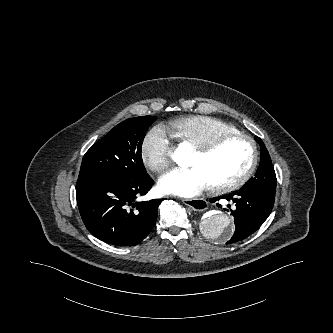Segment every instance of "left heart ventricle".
Here are the masks:
<instances>
[{
    "mask_svg": "<svg viewBox=\"0 0 333 333\" xmlns=\"http://www.w3.org/2000/svg\"><path fill=\"white\" fill-rule=\"evenodd\" d=\"M252 148L243 140H230L209 155L193 151L188 165L200 168L211 185L227 182L240 176L249 166Z\"/></svg>",
    "mask_w": 333,
    "mask_h": 333,
    "instance_id": "obj_1",
    "label": "left heart ventricle"
}]
</instances>
